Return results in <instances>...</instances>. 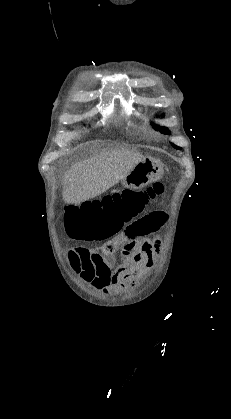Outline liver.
I'll list each match as a JSON object with an SVG mask.
<instances>
[{
	"label": "liver",
	"mask_w": 231,
	"mask_h": 419,
	"mask_svg": "<svg viewBox=\"0 0 231 419\" xmlns=\"http://www.w3.org/2000/svg\"><path fill=\"white\" fill-rule=\"evenodd\" d=\"M145 157L130 150H109L79 162L64 175L63 200L79 205L122 180Z\"/></svg>",
	"instance_id": "obj_1"
}]
</instances>
